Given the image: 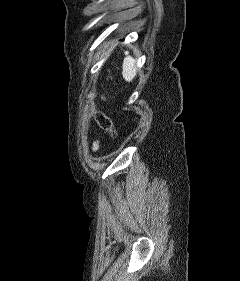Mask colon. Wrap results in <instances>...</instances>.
Listing matches in <instances>:
<instances>
[{
	"mask_svg": "<svg viewBox=\"0 0 240 281\" xmlns=\"http://www.w3.org/2000/svg\"><path fill=\"white\" fill-rule=\"evenodd\" d=\"M95 120L102 130L112 135L115 134V128L113 122L109 117H107L102 113H98L95 115Z\"/></svg>",
	"mask_w": 240,
	"mask_h": 281,
	"instance_id": "5ec220e1",
	"label": "colon"
}]
</instances>
